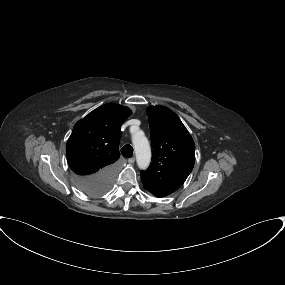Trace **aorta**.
I'll return each mask as SVG.
<instances>
[{"label":"aorta","instance_id":"1","mask_svg":"<svg viewBox=\"0 0 285 285\" xmlns=\"http://www.w3.org/2000/svg\"><path fill=\"white\" fill-rule=\"evenodd\" d=\"M132 143L138 167L142 170L147 169L151 160V148L148 139L142 131H136L132 134Z\"/></svg>","mask_w":285,"mask_h":285}]
</instances>
